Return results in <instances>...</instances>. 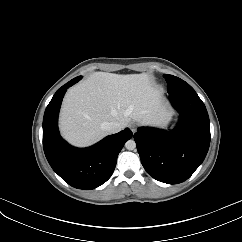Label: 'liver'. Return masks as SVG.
Listing matches in <instances>:
<instances>
[{"mask_svg":"<svg viewBox=\"0 0 242 242\" xmlns=\"http://www.w3.org/2000/svg\"><path fill=\"white\" fill-rule=\"evenodd\" d=\"M166 114L161 90L147 74L95 72L67 91L59 123L68 142L88 146L109 134L106 123L117 121L123 128L131 120L155 124Z\"/></svg>","mask_w":242,"mask_h":242,"instance_id":"obj_1","label":"liver"}]
</instances>
